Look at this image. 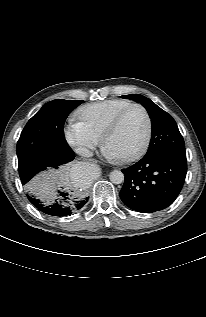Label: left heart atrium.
Returning <instances> with one entry per match:
<instances>
[{"label":"left heart atrium","mask_w":206,"mask_h":317,"mask_svg":"<svg viewBox=\"0 0 206 317\" xmlns=\"http://www.w3.org/2000/svg\"><path fill=\"white\" fill-rule=\"evenodd\" d=\"M102 152L104 154V156H106L109 159H115L118 158L117 154L115 152H113L109 147H107L106 145L103 146L102 148Z\"/></svg>","instance_id":"39dd6f15"}]
</instances>
